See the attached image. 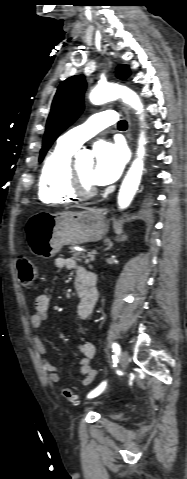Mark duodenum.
<instances>
[{"label":"duodenum","instance_id":"410a0bca","mask_svg":"<svg viewBox=\"0 0 187 479\" xmlns=\"http://www.w3.org/2000/svg\"><path fill=\"white\" fill-rule=\"evenodd\" d=\"M95 287H96V278H95L94 275H90L85 280L84 289L86 290V292H90V291L94 290Z\"/></svg>","mask_w":187,"mask_h":479}]
</instances>
